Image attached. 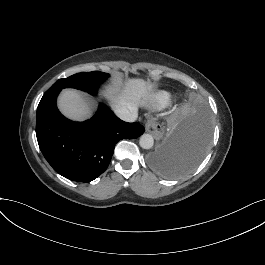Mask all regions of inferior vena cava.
<instances>
[{
	"mask_svg": "<svg viewBox=\"0 0 265 265\" xmlns=\"http://www.w3.org/2000/svg\"><path fill=\"white\" fill-rule=\"evenodd\" d=\"M114 112L118 118L125 122L134 123L138 119L137 109L130 111L127 108H116Z\"/></svg>",
	"mask_w": 265,
	"mask_h": 265,
	"instance_id": "inferior-vena-cava-1",
	"label": "inferior vena cava"
}]
</instances>
